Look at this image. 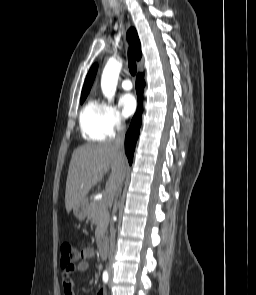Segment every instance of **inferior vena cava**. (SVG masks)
Wrapping results in <instances>:
<instances>
[{"label": "inferior vena cava", "mask_w": 256, "mask_h": 295, "mask_svg": "<svg viewBox=\"0 0 256 295\" xmlns=\"http://www.w3.org/2000/svg\"><path fill=\"white\" fill-rule=\"evenodd\" d=\"M125 130H126L125 124L120 123V124L117 125V135H116L114 145H115L116 148H118L121 151H123V148H124ZM119 194H120V186L118 185L116 187V189L114 190L113 195L117 199ZM109 244H110V246H109L108 257H109V270H110L111 269V262H112V259H113L114 248H115V229H114V226H113L112 223H111V226H110V241H109Z\"/></svg>", "instance_id": "obj_1"}]
</instances>
